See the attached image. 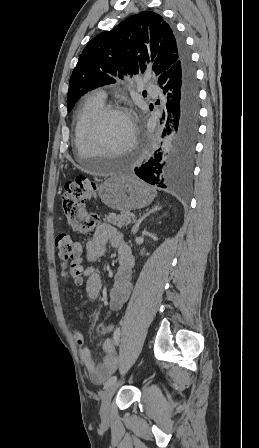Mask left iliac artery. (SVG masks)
<instances>
[{
    "label": "left iliac artery",
    "instance_id": "left-iliac-artery-1",
    "mask_svg": "<svg viewBox=\"0 0 259 448\" xmlns=\"http://www.w3.org/2000/svg\"><path fill=\"white\" fill-rule=\"evenodd\" d=\"M120 333H121V332H120V328L117 327V328L115 329V331H114V334H113V343H114L116 346H118V345H119V342H120ZM116 380H117V377H116V376H112V377H110V378L107 380V382L105 383V387H108V386H110L111 384L115 383Z\"/></svg>",
    "mask_w": 259,
    "mask_h": 448
}]
</instances>
